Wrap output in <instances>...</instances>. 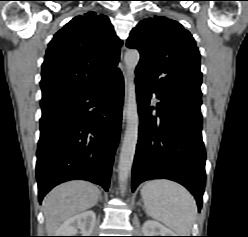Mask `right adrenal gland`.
Instances as JSON below:
<instances>
[{"instance_id":"1","label":"right adrenal gland","mask_w":248,"mask_h":237,"mask_svg":"<svg viewBox=\"0 0 248 237\" xmlns=\"http://www.w3.org/2000/svg\"><path fill=\"white\" fill-rule=\"evenodd\" d=\"M99 201H102V196H101V194H100V196H99ZM97 204V203H96Z\"/></svg>"}]
</instances>
